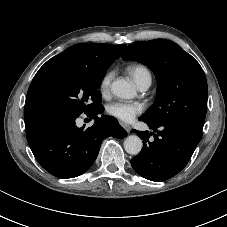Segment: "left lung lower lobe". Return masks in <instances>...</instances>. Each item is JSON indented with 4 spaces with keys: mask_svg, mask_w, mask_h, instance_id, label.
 Wrapping results in <instances>:
<instances>
[{
    "mask_svg": "<svg viewBox=\"0 0 227 227\" xmlns=\"http://www.w3.org/2000/svg\"><path fill=\"white\" fill-rule=\"evenodd\" d=\"M144 122L153 132L135 130L143 140V149L131 160L132 167L148 180L165 181L175 176L187 165L201 140L202 132L184 123ZM151 136L154 138H150Z\"/></svg>",
    "mask_w": 227,
    "mask_h": 227,
    "instance_id": "left-lung-lower-lobe-1",
    "label": "left lung lower lobe"
}]
</instances>
